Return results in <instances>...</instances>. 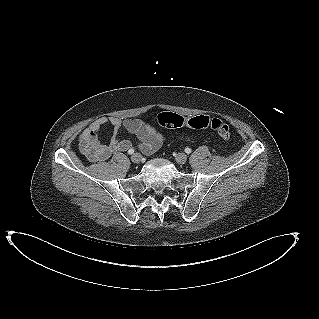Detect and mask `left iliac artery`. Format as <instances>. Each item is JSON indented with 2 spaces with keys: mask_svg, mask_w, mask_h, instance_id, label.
Wrapping results in <instances>:
<instances>
[{
  "mask_svg": "<svg viewBox=\"0 0 319 319\" xmlns=\"http://www.w3.org/2000/svg\"><path fill=\"white\" fill-rule=\"evenodd\" d=\"M185 152H186L187 154H190V153H191V149H190V148H185Z\"/></svg>",
  "mask_w": 319,
  "mask_h": 319,
  "instance_id": "obj_1",
  "label": "left iliac artery"
}]
</instances>
